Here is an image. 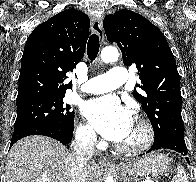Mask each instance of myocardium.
Returning a JSON list of instances; mask_svg holds the SVG:
<instances>
[{"label":"myocardium","mask_w":196,"mask_h":182,"mask_svg":"<svg viewBox=\"0 0 196 182\" xmlns=\"http://www.w3.org/2000/svg\"><path fill=\"white\" fill-rule=\"evenodd\" d=\"M135 121L140 125L143 137L142 140L133 146H123L120 144H116V148L118 151L125 153V154H139L143 151L147 150L154 140V130L151 123L144 117L137 116Z\"/></svg>","instance_id":"myocardium-1"}]
</instances>
